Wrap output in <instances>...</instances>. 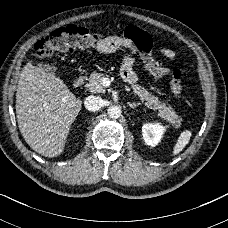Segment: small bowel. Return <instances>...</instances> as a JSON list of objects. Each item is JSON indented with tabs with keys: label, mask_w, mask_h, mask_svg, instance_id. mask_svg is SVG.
Segmentation results:
<instances>
[{
	"label": "small bowel",
	"mask_w": 228,
	"mask_h": 228,
	"mask_svg": "<svg viewBox=\"0 0 228 228\" xmlns=\"http://www.w3.org/2000/svg\"><path fill=\"white\" fill-rule=\"evenodd\" d=\"M152 47L153 42L151 38L143 30L131 26L126 28L122 36H109L105 38L97 49L101 53H111L121 48L127 49L129 54L124 58L121 74L127 82L133 83L137 79L134 72L137 49L143 53H140L142 62L153 76L162 78L169 74L170 70L157 62L149 52ZM158 53L169 60H175L177 58L176 52L168 47H160Z\"/></svg>",
	"instance_id": "small-bowel-1"
}]
</instances>
